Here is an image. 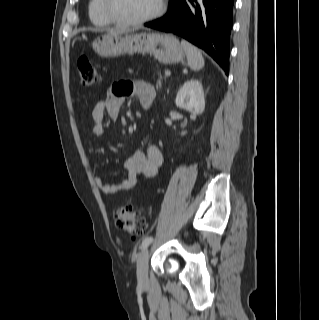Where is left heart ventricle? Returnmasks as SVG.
<instances>
[{
  "label": "left heart ventricle",
  "instance_id": "1",
  "mask_svg": "<svg viewBox=\"0 0 319 320\" xmlns=\"http://www.w3.org/2000/svg\"><path fill=\"white\" fill-rule=\"evenodd\" d=\"M159 0H111V9L119 18L136 19L152 14Z\"/></svg>",
  "mask_w": 319,
  "mask_h": 320
}]
</instances>
